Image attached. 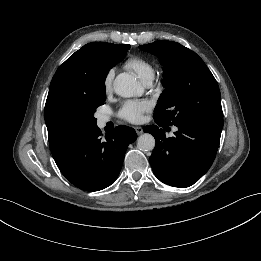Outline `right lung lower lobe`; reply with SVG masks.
<instances>
[{"instance_id": "right-lung-lower-lobe-1", "label": "right lung lower lobe", "mask_w": 261, "mask_h": 261, "mask_svg": "<svg viewBox=\"0 0 261 261\" xmlns=\"http://www.w3.org/2000/svg\"><path fill=\"white\" fill-rule=\"evenodd\" d=\"M136 138L135 130L130 127L117 126L105 138L96 127L55 158V162L76 187L86 191L102 190L118 177L127 147Z\"/></svg>"}]
</instances>
